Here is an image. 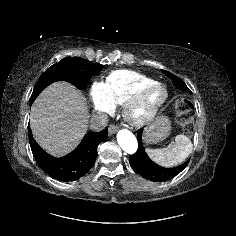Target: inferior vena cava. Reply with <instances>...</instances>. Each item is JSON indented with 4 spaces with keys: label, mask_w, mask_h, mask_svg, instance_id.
I'll use <instances>...</instances> for the list:
<instances>
[{
    "label": "inferior vena cava",
    "mask_w": 236,
    "mask_h": 236,
    "mask_svg": "<svg viewBox=\"0 0 236 236\" xmlns=\"http://www.w3.org/2000/svg\"><path fill=\"white\" fill-rule=\"evenodd\" d=\"M109 118L105 113H98L92 116L90 120V128L94 131L103 130L108 124Z\"/></svg>",
    "instance_id": "1"
}]
</instances>
